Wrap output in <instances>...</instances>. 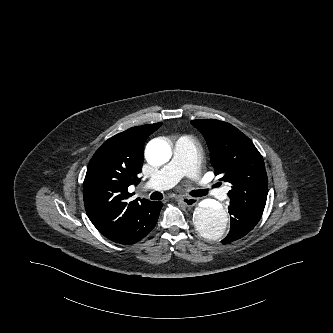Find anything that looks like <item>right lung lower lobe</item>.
Returning <instances> with one entry per match:
<instances>
[{
    "label": "right lung lower lobe",
    "instance_id": "obj_1",
    "mask_svg": "<svg viewBox=\"0 0 333 333\" xmlns=\"http://www.w3.org/2000/svg\"><path fill=\"white\" fill-rule=\"evenodd\" d=\"M162 205L160 201L144 200L133 207L115 228L104 236L113 242L126 245L140 241L155 227Z\"/></svg>",
    "mask_w": 333,
    "mask_h": 333
}]
</instances>
